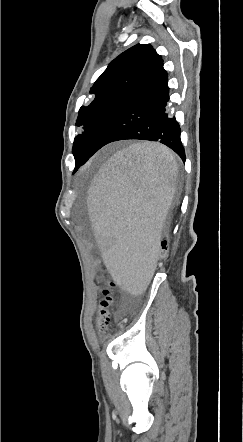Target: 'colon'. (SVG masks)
<instances>
[{
	"mask_svg": "<svg viewBox=\"0 0 243 442\" xmlns=\"http://www.w3.org/2000/svg\"><path fill=\"white\" fill-rule=\"evenodd\" d=\"M161 242V251L158 253L156 260L159 263L164 262L165 258H167L168 253L170 251V242L168 237L163 236L160 239ZM104 276L106 277L105 283L109 287L103 290L102 292V299H97L95 301V306L99 308L97 316L95 318V324L97 329L101 333H105L108 330L110 321H111V308L114 305L115 301V290H116V280L114 278H111V273L109 271H106L104 273Z\"/></svg>",
	"mask_w": 243,
	"mask_h": 442,
	"instance_id": "obj_1",
	"label": "colon"
}]
</instances>
